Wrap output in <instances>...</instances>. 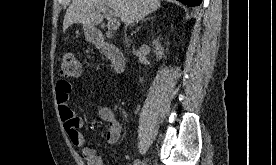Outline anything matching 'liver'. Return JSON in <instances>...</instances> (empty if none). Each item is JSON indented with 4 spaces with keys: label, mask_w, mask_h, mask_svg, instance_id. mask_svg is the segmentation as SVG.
I'll return each instance as SVG.
<instances>
[{
    "label": "liver",
    "mask_w": 276,
    "mask_h": 165,
    "mask_svg": "<svg viewBox=\"0 0 276 165\" xmlns=\"http://www.w3.org/2000/svg\"><path fill=\"white\" fill-rule=\"evenodd\" d=\"M160 7L159 0H73L64 16L63 32L76 23L89 27L100 24L103 9L110 8L112 15L128 25L140 21Z\"/></svg>",
    "instance_id": "liver-1"
}]
</instances>
